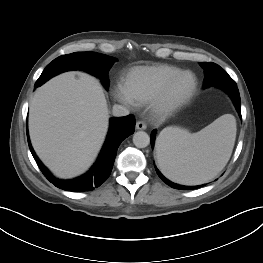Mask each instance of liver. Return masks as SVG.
Segmentation results:
<instances>
[{"label": "liver", "mask_w": 263, "mask_h": 263, "mask_svg": "<svg viewBox=\"0 0 263 263\" xmlns=\"http://www.w3.org/2000/svg\"><path fill=\"white\" fill-rule=\"evenodd\" d=\"M58 75L30 103L29 134L43 163L59 178L85 172L108 130L109 111L96 78L86 73Z\"/></svg>", "instance_id": "6515ba94"}]
</instances>
